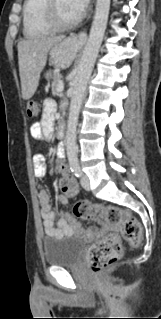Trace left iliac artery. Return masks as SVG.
<instances>
[{
    "label": "left iliac artery",
    "instance_id": "44dca946",
    "mask_svg": "<svg viewBox=\"0 0 161 319\" xmlns=\"http://www.w3.org/2000/svg\"><path fill=\"white\" fill-rule=\"evenodd\" d=\"M71 170L75 174L76 177L82 176V171L78 162H73L71 164Z\"/></svg>",
    "mask_w": 161,
    "mask_h": 319
}]
</instances>
